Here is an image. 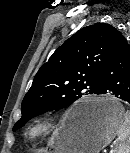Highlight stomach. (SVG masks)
<instances>
[{
	"label": "stomach",
	"mask_w": 130,
	"mask_h": 153,
	"mask_svg": "<svg viewBox=\"0 0 130 153\" xmlns=\"http://www.w3.org/2000/svg\"><path fill=\"white\" fill-rule=\"evenodd\" d=\"M57 130L48 144L49 153H99L117 135L124 121L123 106L111 96L80 101ZM92 108L93 113L83 119L75 118L76 110Z\"/></svg>",
	"instance_id": "stomach-1"
}]
</instances>
